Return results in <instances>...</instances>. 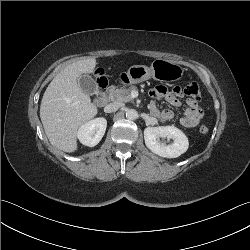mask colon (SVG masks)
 <instances>
[{
    "instance_id": "1",
    "label": "colon",
    "mask_w": 250,
    "mask_h": 250,
    "mask_svg": "<svg viewBox=\"0 0 250 250\" xmlns=\"http://www.w3.org/2000/svg\"><path fill=\"white\" fill-rule=\"evenodd\" d=\"M96 80L100 86H105L106 77L103 70L98 69L95 73ZM184 93L192 100L198 102L201 97L200 88L197 83H190L184 88ZM200 132L202 134L208 133L209 129L207 126L202 125L200 127Z\"/></svg>"
}]
</instances>
